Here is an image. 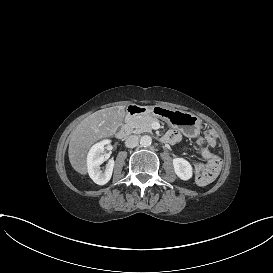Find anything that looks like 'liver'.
Segmentation results:
<instances>
[{"mask_svg":"<svg viewBox=\"0 0 273 273\" xmlns=\"http://www.w3.org/2000/svg\"><path fill=\"white\" fill-rule=\"evenodd\" d=\"M127 115L126 106H113L98 110L84 118L71 133L68 157L74 171L88 175L87 156L98 141L116 135Z\"/></svg>","mask_w":273,"mask_h":273,"instance_id":"1","label":"liver"}]
</instances>
